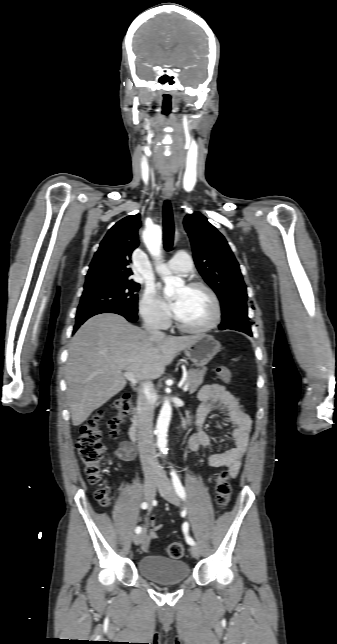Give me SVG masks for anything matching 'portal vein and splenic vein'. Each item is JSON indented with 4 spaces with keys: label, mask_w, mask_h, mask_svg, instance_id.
Masks as SVG:
<instances>
[{
    "label": "portal vein and splenic vein",
    "mask_w": 337,
    "mask_h": 644,
    "mask_svg": "<svg viewBox=\"0 0 337 644\" xmlns=\"http://www.w3.org/2000/svg\"><path fill=\"white\" fill-rule=\"evenodd\" d=\"M124 377H125V378H127L130 382H132V383H134V384H135V383H138V379H137V378L133 375V373H131V372H125V373H124ZM183 390H184V391H187V390H188V385H187V384H184V386H183Z\"/></svg>",
    "instance_id": "obj_1"
}]
</instances>
